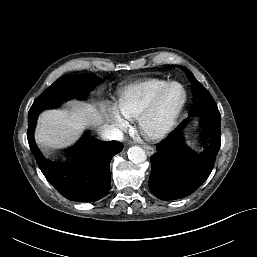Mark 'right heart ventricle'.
Here are the masks:
<instances>
[{
    "mask_svg": "<svg viewBox=\"0 0 257 257\" xmlns=\"http://www.w3.org/2000/svg\"><path fill=\"white\" fill-rule=\"evenodd\" d=\"M165 83L167 81L162 78L148 77L128 84L118 93L117 109L127 118L138 116L156 91Z\"/></svg>",
    "mask_w": 257,
    "mask_h": 257,
    "instance_id": "e07e8e85",
    "label": "right heart ventricle"
}]
</instances>
